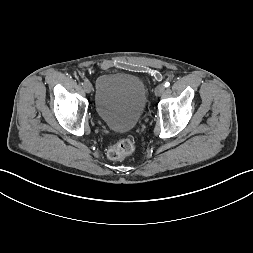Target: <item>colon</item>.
<instances>
[{
    "mask_svg": "<svg viewBox=\"0 0 253 253\" xmlns=\"http://www.w3.org/2000/svg\"><path fill=\"white\" fill-rule=\"evenodd\" d=\"M134 149L135 143L133 140L122 139L108 149L107 156L111 161H121L129 156Z\"/></svg>",
    "mask_w": 253,
    "mask_h": 253,
    "instance_id": "obj_1",
    "label": "colon"
}]
</instances>
